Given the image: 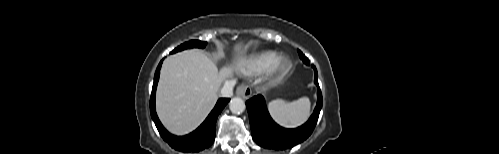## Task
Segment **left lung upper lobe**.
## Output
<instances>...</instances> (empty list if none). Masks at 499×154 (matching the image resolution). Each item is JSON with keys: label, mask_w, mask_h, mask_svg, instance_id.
<instances>
[{"label": "left lung upper lobe", "mask_w": 499, "mask_h": 154, "mask_svg": "<svg viewBox=\"0 0 499 154\" xmlns=\"http://www.w3.org/2000/svg\"><path fill=\"white\" fill-rule=\"evenodd\" d=\"M298 53H299L300 58H302L303 62L309 64V62H310L309 59L305 55H303V53L300 50L298 51Z\"/></svg>", "instance_id": "5c2ea615"}]
</instances>
